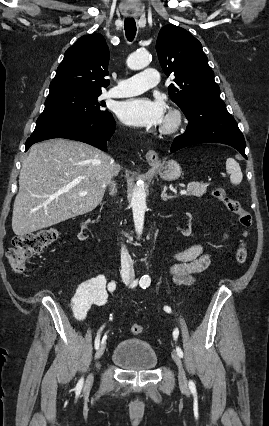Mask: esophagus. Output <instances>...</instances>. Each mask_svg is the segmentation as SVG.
Returning <instances> with one entry per match:
<instances>
[{"label": "esophagus", "mask_w": 269, "mask_h": 426, "mask_svg": "<svg viewBox=\"0 0 269 426\" xmlns=\"http://www.w3.org/2000/svg\"><path fill=\"white\" fill-rule=\"evenodd\" d=\"M146 160L150 165H156L159 162V157L156 151L149 150L146 153Z\"/></svg>", "instance_id": "34e87169"}]
</instances>
